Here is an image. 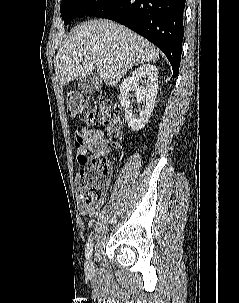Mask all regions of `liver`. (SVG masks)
<instances>
[{
	"instance_id": "1",
	"label": "liver",
	"mask_w": 239,
	"mask_h": 303,
	"mask_svg": "<svg viewBox=\"0 0 239 303\" xmlns=\"http://www.w3.org/2000/svg\"><path fill=\"white\" fill-rule=\"evenodd\" d=\"M158 59L159 51L130 29L108 20H93L71 29L57 52L56 71L61 86L94 70L106 85L115 86L133 66Z\"/></svg>"
}]
</instances>
